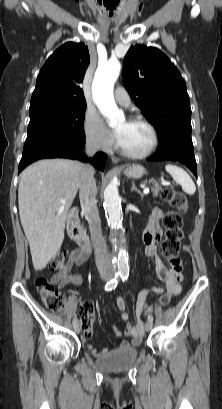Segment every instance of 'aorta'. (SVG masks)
I'll use <instances>...</instances> for the list:
<instances>
[{
  "mask_svg": "<svg viewBox=\"0 0 222 409\" xmlns=\"http://www.w3.org/2000/svg\"><path fill=\"white\" fill-rule=\"evenodd\" d=\"M120 69V63L117 60H110L98 67L92 83L93 100L101 114L108 118L110 125H116L121 117L113 96L114 83L119 76ZM104 208L108 224L112 229L113 239L118 242L122 229V208L117 184L114 181H111L105 188ZM117 265L120 271L128 270V254L122 248L118 249Z\"/></svg>",
  "mask_w": 222,
  "mask_h": 409,
  "instance_id": "1",
  "label": "aorta"
}]
</instances>
